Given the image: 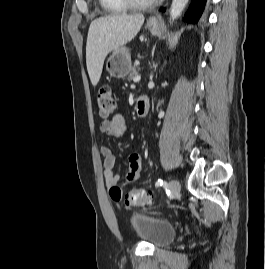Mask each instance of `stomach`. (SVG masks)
I'll use <instances>...</instances> for the list:
<instances>
[{"label": "stomach", "mask_w": 265, "mask_h": 269, "mask_svg": "<svg viewBox=\"0 0 265 269\" xmlns=\"http://www.w3.org/2000/svg\"><path fill=\"white\" fill-rule=\"evenodd\" d=\"M147 28L155 35L161 34L162 25L156 19H150L147 22ZM106 69L111 77L123 78L131 71V56L126 47H120L114 50L112 55L108 58Z\"/></svg>", "instance_id": "1"}]
</instances>
